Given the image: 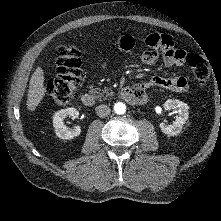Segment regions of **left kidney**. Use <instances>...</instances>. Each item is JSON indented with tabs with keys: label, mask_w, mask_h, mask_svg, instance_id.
I'll return each instance as SVG.
<instances>
[{
	"label": "left kidney",
	"mask_w": 221,
	"mask_h": 221,
	"mask_svg": "<svg viewBox=\"0 0 221 221\" xmlns=\"http://www.w3.org/2000/svg\"><path fill=\"white\" fill-rule=\"evenodd\" d=\"M164 109L166 111L175 109L178 112V116H176V119L172 125L161 123V131L169 136H176L180 134L183 125L186 123L189 117V106L178 99H169L164 103Z\"/></svg>",
	"instance_id": "1"
}]
</instances>
